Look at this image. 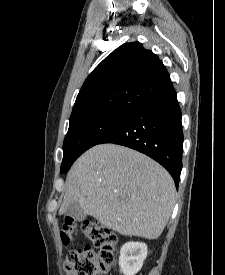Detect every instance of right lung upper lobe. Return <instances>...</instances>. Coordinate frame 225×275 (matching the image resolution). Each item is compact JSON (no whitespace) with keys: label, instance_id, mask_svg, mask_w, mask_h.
Masks as SVG:
<instances>
[{"label":"right lung upper lobe","instance_id":"cb5924a9","mask_svg":"<svg viewBox=\"0 0 225 275\" xmlns=\"http://www.w3.org/2000/svg\"><path fill=\"white\" fill-rule=\"evenodd\" d=\"M174 91L165 66L153 52L139 42L123 44L87 77L70 122L102 112H131Z\"/></svg>","mask_w":225,"mask_h":275}]
</instances>
